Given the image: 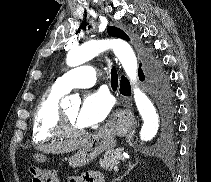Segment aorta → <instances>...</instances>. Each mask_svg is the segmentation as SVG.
I'll use <instances>...</instances> for the list:
<instances>
[{
    "label": "aorta",
    "mask_w": 211,
    "mask_h": 182,
    "mask_svg": "<svg viewBox=\"0 0 211 182\" xmlns=\"http://www.w3.org/2000/svg\"><path fill=\"white\" fill-rule=\"evenodd\" d=\"M112 49L116 57L119 59L123 69L134 85V99L137 109L143 119V125L140 131L142 141L151 140L159 129V115L151 102V100L135 85L137 76V58L131 46L121 39L92 40L84 43L80 47L69 51L67 55V65L75 67L81 65L101 52ZM71 99L66 97L65 102Z\"/></svg>",
    "instance_id": "obj_1"
}]
</instances>
